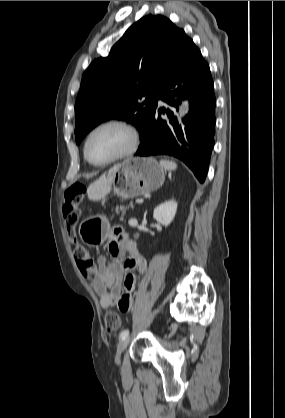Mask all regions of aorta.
<instances>
[{
  "instance_id": "762f6f07",
  "label": "aorta",
  "mask_w": 285,
  "mask_h": 418,
  "mask_svg": "<svg viewBox=\"0 0 285 418\" xmlns=\"http://www.w3.org/2000/svg\"><path fill=\"white\" fill-rule=\"evenodd\" d=\"M188 112V105L185 104L184 108L181 110V115L184 116Z\"/></svg>"
}]
</instances>
